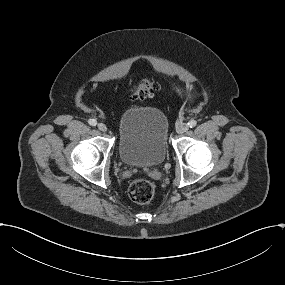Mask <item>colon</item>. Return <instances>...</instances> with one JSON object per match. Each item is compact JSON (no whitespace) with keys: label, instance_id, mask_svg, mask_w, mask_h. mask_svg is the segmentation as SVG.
Masks as SVG:
<instances>
[{"label":"colon","instance_id":"obj_1","mask_svg":"<svg viewBox=\"0 0 285 285\" xmlns=\"http://www.w3.org/2000/svg\"><path fill=\"white\" fill-rule=\"evenodd\" d=\"M160 90V84L153 79H143L131 89L133 100H144ZM129 197L138 204L149 203L155 194L154 185L144 179L133 181L129 186Z\"/></svg>","mask_w":285,"mask_h":285}]
</instances>
